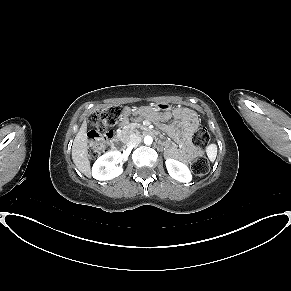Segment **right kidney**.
Listing matches in <instances>:
<instances>
[{
  "label": "right kidney",
  "mask_w": 291,
  "mask_h": 291,
  "mask_svg": "<svg viewBox=\"0 0 291 291\" xmlns=\"http://www.w3.org/2000/svg\"><path fill=\"white\" fill-rule=\"evenodd\" d=\"M122 161L119 151H110L99 157L92 167V176L99 181L111 180L122 174L123 168L117 166Z\"/></svg>",
  "instance_id": "right-kidney-1"
}]
</instances>
